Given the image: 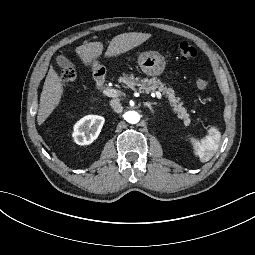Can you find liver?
I'll list each match as a JSON object with an SVG mask.
<instances>
[{"instance_id": "6515ba94", "label": "liver", "mask_w": 255, "mask_h": 255, "mask_svg": "<svg viewBox=\"0 0 255 255\" xmlns=\"http://www.w3.org/2000/svg\"><path fill=\"white\" fill-rule=\"evenodd\" d=\"M152 37L149 33L128 32L115 36L106 51L104 57L107 59L119 56L135 49ZM104 44L102 41L89 42L75 48V53L85 67L96 64V60L102 56ZM65 87L53 67L50 68L45 79L40 95L39 112L37 124L41 126L61 103ZM100 97H90V103L100 102Z\"/></svg>"}]
</instances>
